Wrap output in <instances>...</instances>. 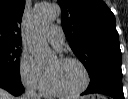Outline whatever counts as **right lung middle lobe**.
<instances>
[{"label":"right lung middle lobe","mask_w":128,"mask_h":99,"mask_svg":"<svg viewBox=\"0 0 128 99\" xmlns=\"http://www.w3.org/2000/svg\"><path fill=\"white\" fill-rule=\"evenodd\" d=\"M20 54L19 46L0 45V76L21 82Z\"/></svg>","instance_id":"dd1d6c3e"}]
</instances>
